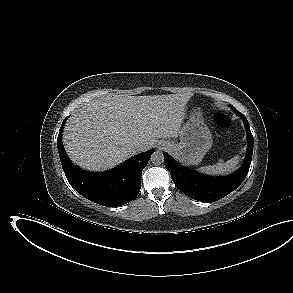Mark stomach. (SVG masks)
Instances as JSON below:
<instances>
[{
  "mask_svg": "<svg viewBox=\"0 0 293 293\" xmlns=\"http://www.w3.org/2000/svg\"><path fill=\"white\" fill-rule=\"evenodd\" d=\"M213 143L212 134L199 109H194L189 120L182 127L180 142H166L167 149L178 159L187 165H198Z\"/></svg>",
  "mask_w": 293,
  "mask_h": 293,
  "instance_id": "0dacf381",
  "label": "stomach"
}]
</instances>
